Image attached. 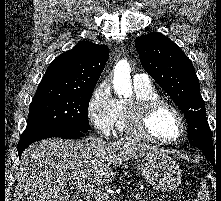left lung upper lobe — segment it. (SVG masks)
<instances>
[{
	"mask_svg": "<svg viewBox=\"0 0 221 201\" xmlns=\"http://www.w3.org/2000/svg\"><path fill=\"white\" fill-rule=\"evenodd\" d=\"M135 47L143 68L184 112L190 143L197 149L214 152L205 103L192 61L161 33L136 38Z\"/></svg>",
	"mask_w": 221,
	"mask_h": 201,
	"instance_id": "obj_1",
	"label": "left lung upper lobe"
}]
</instances>
